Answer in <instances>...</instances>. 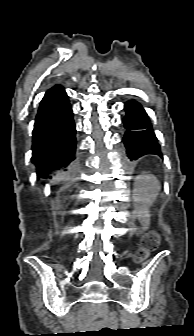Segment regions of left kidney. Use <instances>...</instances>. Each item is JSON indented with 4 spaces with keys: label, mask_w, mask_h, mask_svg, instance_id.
<instances>
[{
    "label": "left kidney",
    "mask_w": 194,
    "mask_h": 336,
    "mask_svg": "<svg viewBox=\"0 0 194 336\" xmlns=\"http://www.w3.org/2000/svg\"><path fill=\"white\" fill-rule=\"evenodd\" d=\"M160 189L157 178L152 174L139 175L133 189L134 207L139 219H144L150 205L155 201Z\"/></svg>",
    "instance_id": "obj_1"
}]
</instances>
